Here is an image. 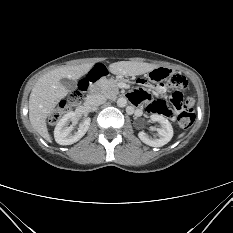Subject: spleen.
Listing matches in <instances>:
<instances>
[{
    "label": "spleen",
    "instance_id": "spleen-1",
    "mask_svg": "<svg viewBox=\"0 0 233 233\" xmlns=\"http://www.w3.org/2000/svg\"><path fill=\"white\" fill-rule=\"evenodd\" d=\"M183 136H184V134L182 133V134L179 135V138H181V137H183Z\"/></svg>",
    "mask_w": 233,
    "mask_h": 233
}]
</instances>
